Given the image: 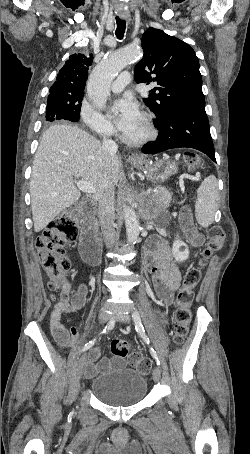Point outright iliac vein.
Returning <instances> with one entry per match:
<instances>
[{
	"label": "right iliac vein",
	"mask_w": 250,
	"mask_h": 454,
	"mask_svg": "<svg viewBox=\"0 0 250 454\" xmlns=\"http://www.w3.org/2000/svg\"><path fill=\"white\" fill-rule=\"evenodd\" d=\"M109 319V316L106 312L101 311L98 314V320L100 323H106ZM87 359V353H83L79 358L78 361L76 362L75 365V377H76V383L78 384L82 378L83 372H84V363Z\"/></svg>",
	"instance_id": "1"
}]
</instances>
